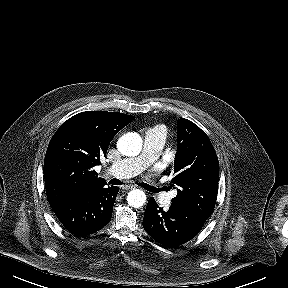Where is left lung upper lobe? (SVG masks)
<instances>
[{"label":"left lung upper lobe","instance_id":"5c2ea615","mask_svg":"<svg viewBox=\"0 0 288 288\" xmlns=\"http://www.w3.org/2000/svg\"><path fill=\"white\" fill-rule=\"evenodd\" d=\"M172 205L208 219L218 192L219 163L208 136L193 122L180 118ZM175 188V187H174Z\"/></svg>","mask_w":288,"mask_h":288}]
</instances>
